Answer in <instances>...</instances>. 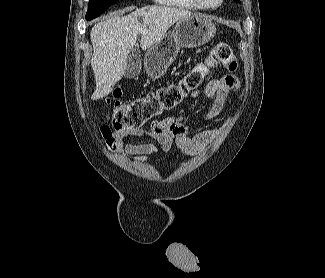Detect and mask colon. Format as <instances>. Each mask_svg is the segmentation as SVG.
<instances>
[{
    "instance_id": "obj_1",
    "label": "colon",
    "mask_w": 325,
    "mask_h": 278,
    "mask_svg": "<svg viewBox=\"0 0 325 278\" xmlns=\"http://www.w3.org/2000/svg\"><path fill=\"white\" fill-rule=\"evenodd\" d=\"M222 66L228 72L237 70V58L227 43L217 44L211 51L207 64H198L192 68L181 80L164 85L149 92L146 96L131 102H124L122 93L116 89L107 98L111 108V123L114 131L136 130L147 122L160 117L178 106L202 82L212 66ZM101 132L107 143L111 144L112 131L104 126Z\"/></svg>"
}]
</instances>
